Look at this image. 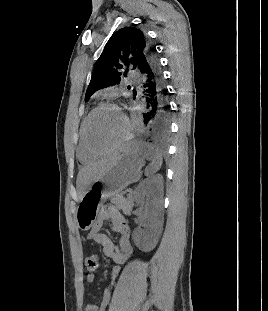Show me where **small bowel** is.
Masks as SVG:
<instances>
[{
    "instance_id": "small-bowel-1",
    "label": "small bowel",
    "mask_w": 268,
    "mask_h": 311,
    "mask_svg": "<svg viewBox=\"0 0 268 311\" xmlns=\"http://www.w3.org/2000/svg\"><path fill=\"white\" fill-rule=\"evenodd\" d=\"M108 222L112 229L119 235V242L115 244L111 238L101 231L103 225ZM87 240L96 242L102 246L104 255L109 258L113 264L112 275H118L125 264L132 256V245L130 241V229L123 215L115 207L108 206L104 208L94 226L87 235ZM95 276L89 272L85 280L88 284L94 282ZM110 291L107 288L103 294L102 302L99 306L87 304L85 311H105L110 302Z\"/></svg>"
}]
</instances>
